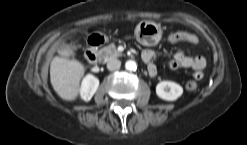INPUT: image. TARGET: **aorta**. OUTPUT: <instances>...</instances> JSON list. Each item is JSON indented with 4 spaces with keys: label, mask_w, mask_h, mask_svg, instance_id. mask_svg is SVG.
Returning a JSON list of instances; mask_svg holds the SVG:
<instances>
[{
    "label": "aorta",
    "mask_w": 247,
    "mask_h": 145,
    "mask_svg": "<svg viewBox=\"0 0 247 145\" xmlns=\"http://www.w3.org/2000/svg\"><path fill=\"white\" fill-rule=\"evenodd\" d=\"M125 68L128 71H135L137 69V64L133 60H129L125 63Z\"/></svg>",
    "instance_id": "1"
}]
</instances>
